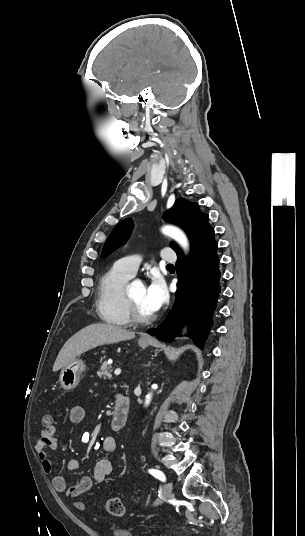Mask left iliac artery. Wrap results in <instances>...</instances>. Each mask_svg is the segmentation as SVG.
Returning a JSON list of instances; mask_svg holds the SVG:
<instances>
[{"mask_svg": "<svg viewBox=\"0 0 305 536\" xmlns=\"http://www.w3.org/2000/svg\"><path fill=\"white\" fill-rule=\"evenodd\" d=\"M149 472L157 479L161 480L162 482L166 481V477L163 472L160 470L150 469Z\"/></svg>", "mask_w": 305, "mask_h": 536, "instance_id": "left-iliac-artery-1", "label": "left iliac artery"}]
</instances>
